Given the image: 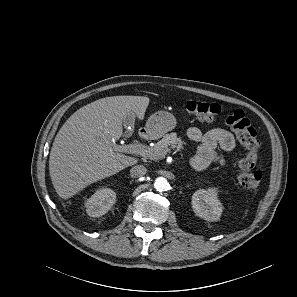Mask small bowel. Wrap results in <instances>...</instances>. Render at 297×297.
Returning <instances> with one entry per match:
<instances>
[{
	"instance_id": "1",
	"label": "small bowel",
	"mask_w": 297,
	"mask_h": 297,
	"mask_svg": "<svg viewBox=\"0 0 297 297\" xmlns=\"http://www.w3.org/2000/svg\"><path fill=\"white\" fill-rule=\"evenodd\" d=\"M187 136L191 141L198 143L197 154L192 159V165L197 169H203L214 162L225 164V159L217 155V147L226 152H231L235 147L234 136L223 128L202 132L197 127H190Z\"/></svg>"
}]
</instances>
